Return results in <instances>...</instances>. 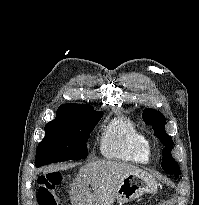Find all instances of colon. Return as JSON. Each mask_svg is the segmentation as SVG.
<instances>
[{
  "mask_svg": "<svg viewBox=\"0 0 199 205\" xmlns=\"http://www.w3.org/2000/svg\"><path fill=\"white\" fill-rule=\"evenodd\" d=\"M62 181L63 176L56 173H48L42 178L38 191L40 205H58L55 190Z\"/></svg>",
  "mask_w": 199,
  "mask_h": 205,
  "instance_id": "obj_1",
  "label": "colon"
}]
</instances>
